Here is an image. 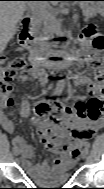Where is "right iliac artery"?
Here are the masks:
<instances>
[{"mask_svg": "<svg viewBox=\"0 0 104 189\" xmlns=\"http://www.w3.org/2000/svg\"><path fill=\"white\" fill-rule=\"evenodd\" d=\"M13 145H14V148L16 147V143L15 142H13Z\"/></svg>", "mask_w": 104, "mask_h": 189, "instance_id": "obj_1", "label": "right iliac artery"}]
</instances>
